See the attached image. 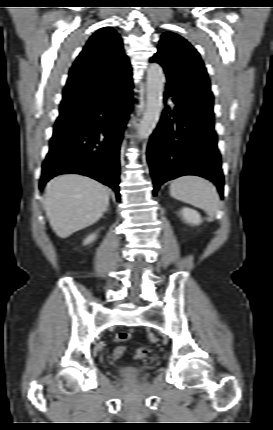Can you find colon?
Returning a JSON list of instances; mask_svg holds the SVG:
<instances>
[{"label":"colon","instance_id":"1","mask_svg":"<svg viewBox=\"0 0 273 430\" xmlns=\"http://www.w3.org/2000/svg\"><path fill=\"white\" fill-rule=\"evenodd\" d=\"M131 339V334L129 332L123 331L115 336L116 342H126ZM152 348L150 346L139 347L135 350V357L138 359H143L148 357L152 353ZM125 352L124 347H117L114 351L115 356L121 357Z\"/></svg>","mask_w":273,"mask_h":430}]
</instances>
